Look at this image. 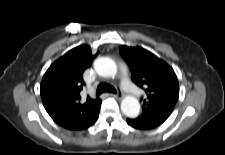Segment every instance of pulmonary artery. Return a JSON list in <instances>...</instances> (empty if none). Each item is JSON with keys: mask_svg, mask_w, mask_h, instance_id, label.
I'll return each instance as SVG.
<instances>
[{"mask_svg": "<svg viewBox=\"0 0 225 155\" xmlns=\"http://www.w3.org/2000/svg\"><path fill=\"white\" fill-rule=\"evenodd\" d=\"M120 75H121V85L122 88L129 94L133 96H139L140 92L135 87V85L131 82V80L128 77L127 70L124 66H121L120 68Z\"/></svg>", "mask_w": 225, "mask_h": 155, "instance_id": "pulmonary-artery-1", "label": "pulmonary artery"}]
</instances>
